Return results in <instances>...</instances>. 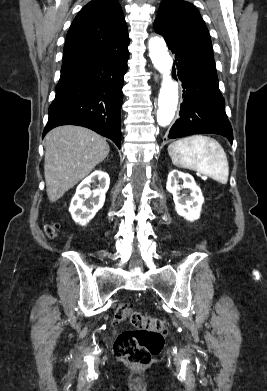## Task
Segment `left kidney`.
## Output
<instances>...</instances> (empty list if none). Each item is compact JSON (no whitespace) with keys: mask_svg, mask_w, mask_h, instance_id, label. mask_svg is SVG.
I'll use <instances>...</instances> for the list:
<instances>
[{"mask_svg":"<svg viewBox=\"0 0 267 391\" xmlns=\"http://www.w3.org/2000/svg\"><path fill=\"white\" fill-rule=\"evenodd\" d=\"M180 179L183 180L182 186L179 185ZM166 188L173 195L175 210L179 216L188 221H194L200 217L204 198L191 175L172 170L168 175ZM183 189H186L190 194L186 195L182 191Z\"/></svg>","mask_w":267,"mask_h":391,"instance_id":"obj_1","label":"left kidney"}]
</instances>
